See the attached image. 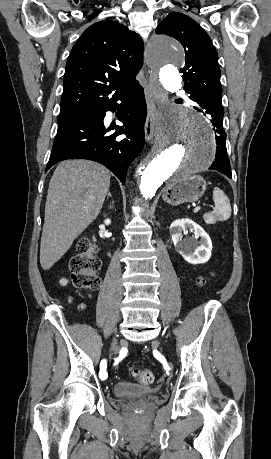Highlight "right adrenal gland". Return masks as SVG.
I'll return each mask as SVG.
<instances>
[{"instance_id":"right-adrenal-gland-1","label":"right adrenal gland","mask_w":271,"mask_h":459,"mask_svg":"<svg viewBox=\"0 0 271 459\" xmlns=\"http://www.w3.org/2000/svg\"><path fill=\"white\" fill-rule=\"evenodd\" d=\"M107 196H108V198H112L111 192H108ZM108 198H107V200H108ZM112 204H113V202H112Z\"/></svg>"}]
</instances>
